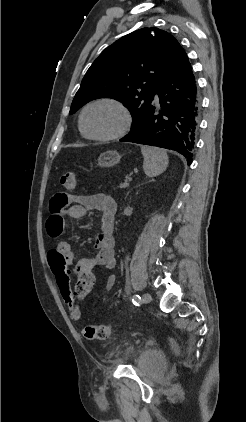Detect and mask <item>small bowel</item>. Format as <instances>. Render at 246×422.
Segmentation results:
<instances>
[{
  "label": "small bowel",
  "mask_w": 246,
  "mask_h": 422,
  "mask_svg": "<svg viewBox=\"0 0 246 422\" xmlns=\"http://www.w3.org/2000/svg\"><path fill=\"white\" fill-rule=\"evenodd\" d=\"M117 205L115 200L106 194L95 195H67L64 193L55 194L50 202V215L47 220V232L50 237L57 238L61 235L66 218L80 219L87 211L101 212V232L97 235L94 247L97 250L94 257L80 258L75 262L76 255L67 241H59L55 247L65 256L69 265H74L75 274L93 271L97 267L112 269L115 267V240L114 218ZM116 277L108 276L105 288L111 290L115 286Z\"/></svg>",
  "instance_id": "1"
}]
</instances>
